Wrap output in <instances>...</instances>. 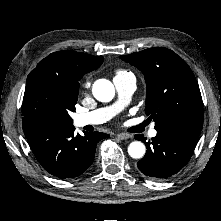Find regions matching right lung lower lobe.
Segmentation results:
<instances>
[{"instance_id":"1","label":"right lung lower lobe","mask_w":221,"mask_h":221,"mask_svg":"<svg viewBox=\"0 0 221 221\" xmlns=\"http://www.w3.org/2000/svg\"><path fill=\"white\" fill-rule=\"evenodd\" d=\"M23 131L38 162L59 178L80 176L93 163L97 143L109 135L101 132L75 134L73 125L23 122Z\"/></svg>"}]
</instances>
